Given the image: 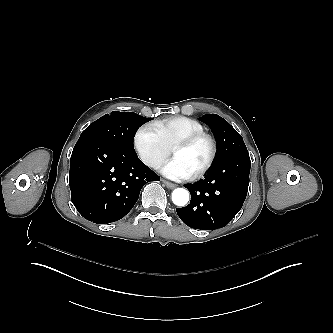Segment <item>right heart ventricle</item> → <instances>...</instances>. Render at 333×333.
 <instances>
[{
  "mask_svg": "<svg viewBox=\"0 0 333 333\" xmlns=\"http://www.w3.org/2000/svg\"><path fill=\"white\" fill-rule=\"evenodd\" d=\"M156 129L163 137L167 147L171 149L176 143L182 139L204 133L202 124L191 118L176 115L170 116L155 124Z\"/></svg>",
  "mask_w": 333,
  "mask_h": 333,
  "instance_id": "e07e8e85",
  "label": "right heart ventricle"
}]
</instances>
